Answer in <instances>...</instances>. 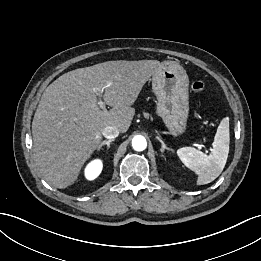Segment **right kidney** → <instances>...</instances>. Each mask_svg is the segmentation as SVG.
<instances>
[{
  "label": "right kidney",
  "mask_w": 261,
  "mask_h": 261,
  "mask_svg": "<svg viewBox=\"0 0 261 261\" xmlns=\"http://www.w3.org/2000/svg\"><path fill=\"white\" fill-rule=\"evenodd\" d=\"M102 161L99 159L91 161L85 168V177L88 180H94L102 171Z\"/></svg>",
  "instance_id": "ca27d5eb"
}]
</instances>
